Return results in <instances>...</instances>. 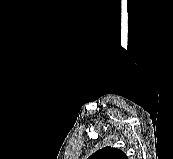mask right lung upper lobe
<instances>
[{
  "instance_id": "cb5924a9",
  "label": "right lung upper lobe",
  "mask_w": 173,
  "mask_h": 159,
  "mask_svg": "<svg viewBox=\"0 0 173 159\" xmlns=\"http://www.w3.org/2000/svg\"><path fill=\"white\" fill-rule=\"evenodd\" d=\"M88 159H127V157L120 149L105 147L92 154Z\"/></svg>"
}]
</instances>
